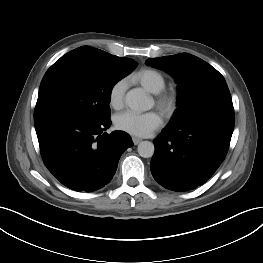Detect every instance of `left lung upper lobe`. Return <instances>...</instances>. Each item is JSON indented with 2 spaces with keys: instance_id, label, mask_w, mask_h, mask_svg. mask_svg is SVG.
<instances>
[{
  "instance_id": "left-lung-upper-lobe-1",
  "label": "left lung upper lobe",
  "mask_w": 263,
  "mask_h": 263,
  "mask_svg": "<svg viewBox=\"0 0 263 263\" xmlns=\"http://www.w3.org/2000/svg\"><path fill=\"white\" fill-rule=\"evenodd\" d=\"M145 64L170 73L178 83V107L169 124L190 121L210 112H234L224 77L202 59L184 53L149 58Z\"/></svg>"
}]
</instances>
